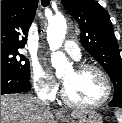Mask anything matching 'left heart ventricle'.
I'll use <instances>...</instances> for the list:
<instances>
[{
	"instance_id": "obj_1",
	"label": "left heart ventricle",
	"mask_w": 122,
	"mask_h": 123,
	"mask_svg": "<svg viewBox=\"0 0 122 123\" xmlns=\"http://www.w3.org/2000/svg\"><path fill=\"white\" fill-rule=\"evenodd\" d=\"M63 83L70 96L81 102H96L106 94V83L103 77L93 69L80 72L71 69L63 76Z\"/></svg>"
}]
</instances>
